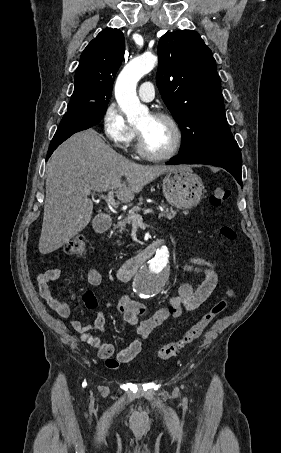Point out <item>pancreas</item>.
Segmentation results:
<instances>
[{"label": "pancreas", "instance_id": "1", "mask_svg": "<svg viewBox=\"0 0 281 453\" xmlns=\"http://www.w3.org/2000/svg\"><path fill=\"white\" fill-rule=\"evenodd\" d=\"M143 198H140V202H138V204H136V206H133V208H131L128 216H126V218H120V220H118L117 224H114V229H119L118 233H122V231H125V227H126V224H130L132 218H130V216H132V214H136V212H138V210H141V204H143L142 202ZM161 206H163L164 210H162V212H159V216H166V218H173V216H175V214H177V210H173V208H167V206H165V204H161Z\"/></svg>", "mask_w": 281, "mask_h": 453}]
</instances>
